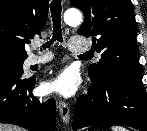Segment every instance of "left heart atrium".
<instances>
[{"label":"left heart atrium","mask_w":147,"mask_h":131,"mask_svg":"<svg viewBox=\"0 0 147 131\" xmlns=\"http://www.w3.org/2000/svg\"><path fill=\"white\" fill-rule=\"evenodd\" d=\"M78 83L77 73L71 69H66L49 80L45 87L49 93L70 97L77 91Z\"/></svg>","instance_id":"39dd6f15"}]
</instances>
